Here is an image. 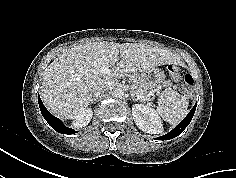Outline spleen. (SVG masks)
Here are the masks:
<instances>
[{"mask_svg": "<svg viewBox=\"0 0 236 178\" xmlns=\"http://www.w3.org/2000/svg\"><path fill=\"white\" fill-rule=\"evenodd\" d=\"M189 100L173 89H165L158 98L156 113L171 125L181 122L187 115Z\"/></svg>", "mask_w": 236, "mask_h": 178, "instance_id": "3e777b00", "label": "spleen"}]
</instances>
